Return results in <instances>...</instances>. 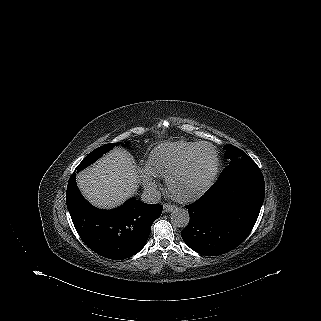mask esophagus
Segmentation results:
<instances>
[{
    "label": "esophagus",
    "mask_w": 321,
    "mask_h": 321,
    "mask_svg": "<svg viewBox=\"0 0 321 321\" xmlns=\"http://www.w3.org/2000/svg\"><path fill=\"white\" fill-rule=\"evenodd\" d=\"M176 208L175 205L172 204H164V211L165 212H171Z\"/></svg>",
    "instance_id": "34e87169"
}]
</instances>
